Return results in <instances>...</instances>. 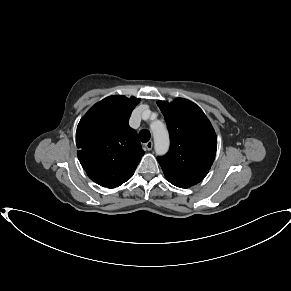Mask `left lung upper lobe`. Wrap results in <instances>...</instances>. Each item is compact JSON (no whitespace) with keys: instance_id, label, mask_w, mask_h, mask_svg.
Returning <instances> with one entry per match:
<instances>
[{"instance_id":"1","label":"left lung upper lobe","mask_w":291,"mask_h":291,"mask_svg":"<svg viewBox=\"0 0 291 291\" xmlns=\"http://www.w3.org/2000/svg\"><path fill=\"white\" fill-rule=\"evenodd\" d=\"M157 104L170 135L169 152L158 157V162L171 183L191 187L203 180L213 164L217 149L215 131L201 108L187 99Z\"/></svg>"}]
</instances>
